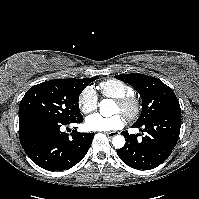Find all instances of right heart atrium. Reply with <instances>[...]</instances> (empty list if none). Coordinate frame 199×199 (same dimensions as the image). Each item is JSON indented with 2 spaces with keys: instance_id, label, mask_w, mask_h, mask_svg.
Segmentation results:
<instances>
[{
  "instance_id": "d8ad5b80",
  "label": "right heart atrium",
  "mask_w": 199,
  "mask_h": 199,
  "mask_svg": "<svg viewBox=\"0 0 199 199\" xmlns=\"http://www.w3.org/2000/svg\"><path fill=\"white\" fill-rule=\"evenodd\" d=\"M98 105L97 94L93 87L87 86L80 93L78 98V106L82 113L89 114L96 110Z\"/></svg>"
}]
</instances>
